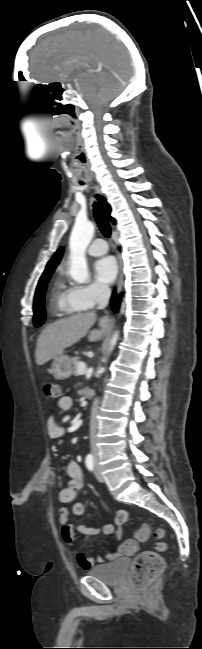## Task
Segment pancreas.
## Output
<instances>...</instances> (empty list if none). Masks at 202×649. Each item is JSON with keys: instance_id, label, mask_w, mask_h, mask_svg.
Instances as JSON below:
<instances>
[{"instance_id": "cf45deb5", "label": "pancreas", "mask_w": 202, "mask_h": 649, "mask_svg": "<svg viewBox=\"0 0 202 649\" xmlns=\"http://www.w3.org/2000/svg\"><path fill=\"white\" fill-rule=\"evenodd\" d=\"M79 363H80V361L78 360V358H75L74 361H73V364H74V367H73V374H74L75 376H79V375H80L79 372H78V364H79Z\"/></svg>"}]
</instances>
